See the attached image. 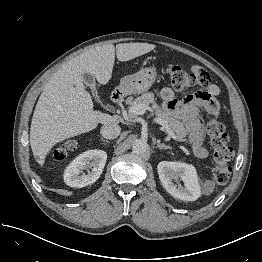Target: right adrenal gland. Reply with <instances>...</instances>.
<instances>
[{
    "label": "right adrenal gland",
    "instance_id": "obj_1",
    "mask_svg": "<svg viewBox=\"0 0 262 262\" xmlns=\"http://www.w3.org/2000/svg\"><path fill=\"white\" fill-rule=\"evenodd\" d=\"M100 138H101V140H102L104 143H106V144L110 143V141L105 140L103 137H100Z\"/></svg>",
    "mask_w": 262,
    "mask_h": 262
}]
</instances>
